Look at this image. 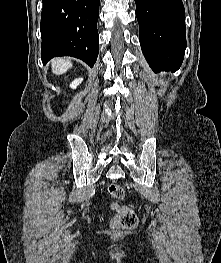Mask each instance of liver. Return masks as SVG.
Wrapping results in <instances>:
<instances>
[{
    "label": "liver",
    "instance_id": "6515ba94",
    "mask_svg": "<svg viewBox=\"0 0 221 263\" xmlns=\"http://www.w3.org/2000/svg\"><path fill=\"white\" fill-rule=\"evenodd\" d=\"M51 65L52 72L56 75H61L72 67V62L69 59L56 58L52 60Z\"/></svg>",
    "mask_w": 221,
    "mask_h": 263
}]
</instances>
